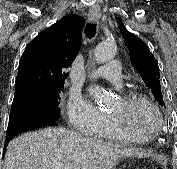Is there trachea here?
Wrapping results in <instances>:
<instances>
[{
    "mask_svg": "<svg viewBox=\"0 0 177 169\" xmlns=\"http://www.w3.org/2000/svg\"><path fill=\"white\" fill-rule=\"evenodd\" d=\"M85 32L88 36V38H92L95 36L96 34V24L94 23H87L86 28H85Z\"/></svg>",
    "mask_w": 177,
    "mask_h": 169,
    "instance_id": "1",
    "label": "trachea"
}]
</instances>
